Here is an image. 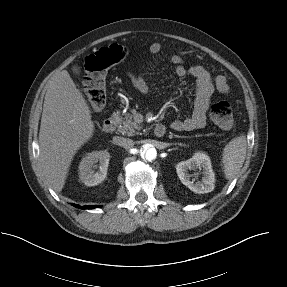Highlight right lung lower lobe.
<instances>
[{
	"mask_svg": "<svg viewBox=\"0 0 287 287\" xmlns=\"http://www.w3.org/2000/svg\"><path fill=\"white\" fill-rule=\"evenodd\" d=\"M74 206H76V207H80L79 205H74ZM94 207H97V206H84L83 208L84 209H91V208H94Z\"/></svg>",
	"mask_w": 287,
	"mask_h": 287,
	"instance_id": "obj_1",
	"label": "right lung lower lobe"
}]
</instances>
